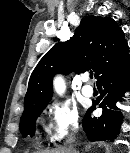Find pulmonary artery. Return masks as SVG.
<instances>
[{
  "label": "pulmonary artery",
  "mask_w": 130,
  "mask_h": 153,
  "mask_svg": "<svg viewBox=\"0 0 130 153\" xmlns=\"http://www.w3.org/2000/svg\"><path fill=\"white\" fill-rule=\"evenodd\" d=\"M85 81H88V79L86 78ZM82 94L86 97H91L93 96L94 94V90L91 86L89 85H85L83 88H82Z\"/></svg>",
  "instance_id": "e3ab8cb5"
}]
</instances>
